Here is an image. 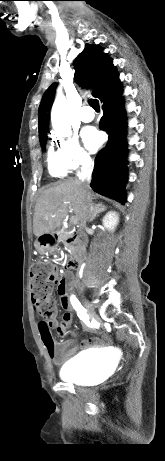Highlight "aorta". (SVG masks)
I'll return each instance as SVG.
<instances>
[{"instance_id":"762f6f07","label":"aorta","mask_w":165,"mask_h":461,"mask_svg":"<svg viewBox=\"0 0 165 461\" xmlns=\"http://www.w3.org/2000/svg\"><path fill=\"white\" fill-rule=\"evenodd\" d=\"M52 127L60 136L71 133V122L68 103L62 94H58L51 109Z\"/></svg>"}]
</instances>
